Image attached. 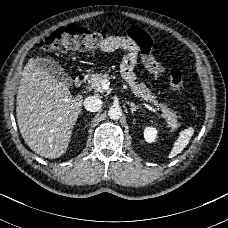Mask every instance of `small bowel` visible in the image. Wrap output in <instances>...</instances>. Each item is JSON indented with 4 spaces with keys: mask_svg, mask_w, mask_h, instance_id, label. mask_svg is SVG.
I'll list each match as a JSON object with an SVG mask.
<instances>
[{
    "mask_svg": "<svg viewBox=\"0 0 228 228\" xmlns=\"http://www.w3.org/2000/svg\"><path fill=\"white\" fill-rule=\"evenodd\" d=\"M152 43L149 36L141 28H130L126 35L110 37L102 46V51L112 52L117 49L126 51L121 64V73L127 80H134V67L141 53V59L145 68L154 75H161L166 70L151 54Z\"/></svg>",
    "mask_w": 228,
    "mask_h": 228,
    "instance_id": "obj_1",
    "label": "small bowel"
}]
</instances>
